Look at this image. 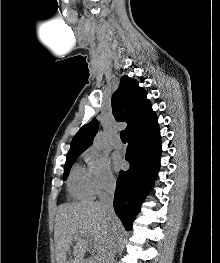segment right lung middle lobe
<instances>
[{"mask_svg":"<svg viewBox=\"0 0 220 263\" xmlns=\"http://www.w3.org/2000/svg\"><path fill=\"white\" fill-rule=\"evenodd\" d=\"M79 155L80 153L67 155L66 163L64 166V179L68 177L71 166L73 165L74 161L77 159Z\"/></svg>","mask_w":220,"mask_h":263,"instance_id":"dd1d6c3e","label":"right lung middle lobe"}]
</instances>
